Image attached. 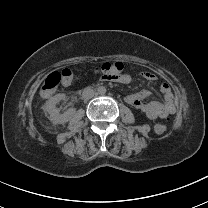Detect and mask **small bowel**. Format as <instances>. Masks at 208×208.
I'll use <instances>...</instances> for the list:
<instances>
[{"instance_id": "small-bowel-1", "label": "small bowel", "mask_w": 208, "mask_h": 208, "mask_svg": "<svg viewBox=\"0 0 208 208\" xmlns=\"http://www.w3.org/2000/svg\"><path fill=\"white\" fill-rule=\"evenodd\" d=\"M141 76L148 80L154 81L156 80V76L152 72H142ZM100 82H117L128 84L131 82V77L127 74H114V75H100ZM65 86H69L70 84H64ZM160 91L164 97L162 102L159 101H151V102H143V99L150 96L152 92L148 89H144L140 92L130 94L126 96L125 101L133 106L134 108L140 110L145 116L151 120L162 118L165 119L172 115L176 110V105L174 102L172 90L167 83H163L160 86Z\"/></svg>"}]
</instances>
